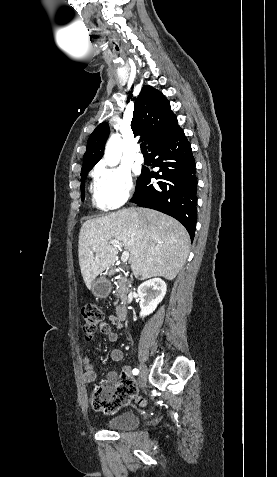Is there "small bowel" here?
Segmentation results:
<instances>
[{"label":"small bowel","mask_w":277,"mask_h":477,"mask_svg":"<svg viewBox=\"0 0 277 477\" xmlns=\"http://www.w3.org/2000/svg\"><path fill=\"white\" fill-rule=\"evenodd\" d=\"M109 322L111 324H113L117 329H121L123 324L122 322H120L116 317L114 316H109L108 318ZM100 330L107 335V338L108 340L111 342V343H116L118 342V335L111 331V328L110 326L107 324V323H101L100 326H99ZM124 357V353L122 350L120 349H113L111 352H110V358L112 361L114 362H118V361H121ZM82 362H83V365H84V374H83V380L86 382V383H91V382H94L97 378V371L95 370L93 364H92V361H91V358L89 356H85L83 359H82ZM108 382H111V383H116V382H119L121 380H131L130 376H129V368L128 367H124L123 370H122V373H121V376L119 377L117 373L115 372H110L108 374ZM132 381V380H131Z\"/></svg>","instance_id":"small-bowel-1"}]
</instances>
